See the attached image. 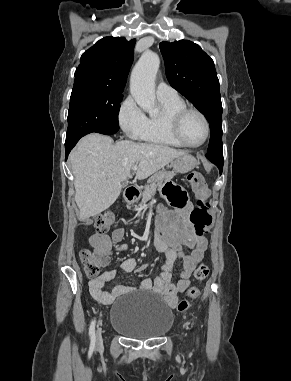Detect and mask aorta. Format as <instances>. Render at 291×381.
I'll return each instance as SVG.
<instances>
[{
    "label": "aorta",
    "instance_id": "762f6f07",
    "mask_svg": "<svg viewBox=\"0 0 291 381\" xmlns=\"http://www.w3.org/2000/svg\"><path fill=\"white\" fill-rule=\"evenodd\" d=\"M159 65V56L152 51H145L134 66L130 78L132 97L150 116L158 113L155 106V77Z\"/></svg>",
    "mask_w": 291,
    "mask_h": 381
}]
</instances>
